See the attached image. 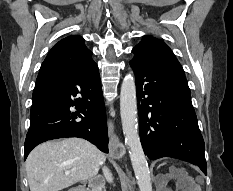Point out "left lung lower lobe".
Here are the masks:
<instances>
[{
  "label": "left lung lower lobe",
  "mask_w": 233,
  "mask_h": 191,
  "mask_svg": "<svg viewBox=\"0 0 233 191\" xmlns=\"http://www.w3.org/2000/svg\"><path fill=\"white\" fill-rule=\"evenodd\" d=\"M136 78L140 139L150 160L178 158L207 175L205 145L184 75L131 60Z\"/></svg>",
  "instance_id": "obj_1"
}]
</instances>
